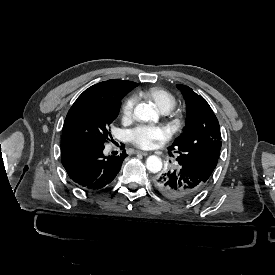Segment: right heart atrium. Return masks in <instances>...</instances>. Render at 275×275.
<instances>
[{
    "instance_id": "obj_1",
    "label": "right heart atrium",
    "mask_w": 275,
    "mask_h": 275,
    "mask_svg": "<svg viewBox=\"0 0 275 275\" xmlns=\"http://www.w3.org/2000/svg\"><path fill=\"white\" fill-rule=\"evenodd\" d=\"M135 105V100L132 97L127 98L121 108L123 121H129L133 116V108Z\"/></svg>"
}]
</instances>
